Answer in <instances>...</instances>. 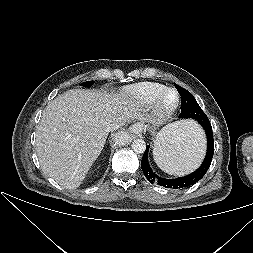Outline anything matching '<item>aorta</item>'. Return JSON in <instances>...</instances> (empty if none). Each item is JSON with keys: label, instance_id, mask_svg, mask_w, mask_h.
<instances>
[{"label": "aorta", "instance_id": "1", "mask_svg": "<svg viewBox=\"0 0 253 253\" xmlns=\"http://www.w3.org/2000/svg\"><path fill=\"white\" fill-rule=\"evenodd\" d=\"M132 149L136 153H143L146 149V143L142 139H135L132 142Z\"/></svg>", "mask_w": 253, "mask_h": 253}]
</instances>
